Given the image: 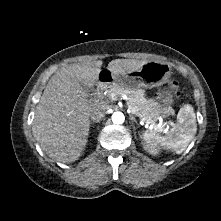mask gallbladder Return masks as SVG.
Instances as JSON below:
<instances>
[{
	"label": "gallbladder",
	"instance_id": "obj_1",
	"mask_svg": "<svg viewBox=\"0 0 221 221\" xmlns=\"http://www.w3.org/2000/svg\"><path fill=\"white\" fill-rule=\"evenodd\" d=\"M84 90L87 92L88 95H92L95 91L93 87L84 86Z\"/></svg>",
	"mask_w": 221,
	"mask_h": 221
}]
</instances>
